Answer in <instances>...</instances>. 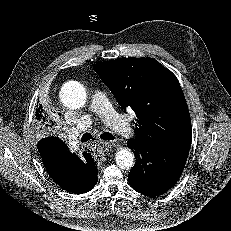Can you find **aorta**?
I'll list each match as a JSON object with an SVG mask.
<instances>
[{
	"instance_id": "aorta-1",
	"label": "aorta",
	"mask_w": 231,
	"mask_h": 231,
	"mask_svg": "<svg viewBox=\"0 0 231 231\" xmlns=\"http://www.w3.org/2000/svg\"><path fill=\"white\" fill-rule=\"evenodd\" d=\"M62 104L70 109H79L87 102L86 89L77 81L65 83L60 91ZM115 161L119 168L129 170L134 166L135 157L128 148H120L115 154Z\"/></svg>"
}]
</instances>
